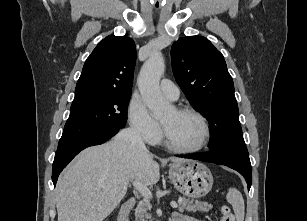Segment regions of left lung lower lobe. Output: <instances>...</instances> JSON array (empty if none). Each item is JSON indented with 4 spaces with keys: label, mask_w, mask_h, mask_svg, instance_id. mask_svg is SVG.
Masks as SVG:
<instances>
[{
    "label": "left lung lower lobe",
    "mask_w": 307,
    "mask_h": 221,
    "mask_svg": "<svg viewBox=\"0 0 307 221\" xmlns=\"http://www.w3.org/2000/svg\"><path fill=\"white\" fill-rule=\"evenodd\" d=\"M178 157H184L189 159H195L205 162H211L218 165L228 166L238 171L247 182L248 190L252 183V167L249 157L242 156L236 152L229 150H210L209 152L184 155Z\"/></svg>",
    "instance_id": "obj_1"
}]
</instances>
